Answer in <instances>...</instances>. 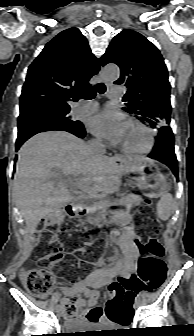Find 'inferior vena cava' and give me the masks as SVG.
<instances>
[{"label":"inferior vena cava","instance_id":"inferior-vena-cava-1","mask_svg":"<svg viewBox=\"0 0 194 336\" xmlns=\"http://www.w3.org/2000/svg\"><path fill=\"white\" fill-rule=\"evenodd\" d=\"M87 148L94 154L104 155L106 153V148L103 145L102 141L99 139L89 141Z\"/></svg>","mask_w":194,"mask_h":336}]
</instances>
